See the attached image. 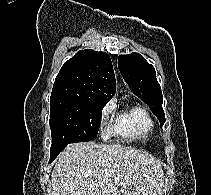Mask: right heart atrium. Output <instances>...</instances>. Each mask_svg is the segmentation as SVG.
<instances>
[{"label": "right heart atrium", "mask_w": 211, "mask_h": 195, "mask_svg": "<svg viewBox=\"0 0 211 195\" xmlns=\"http://www.w3.org/2000/svg\"><path fill=\"white\" fill-rule=\"evenodd\" d=\"M108 113V109H104L103 112H102V119L104 120L105 116L107 115Z\"/></svg>", "instance_id": "right-heart-atrium-1"}]
</instances>
